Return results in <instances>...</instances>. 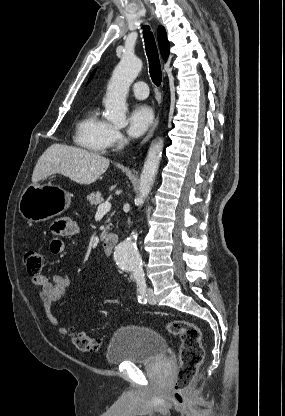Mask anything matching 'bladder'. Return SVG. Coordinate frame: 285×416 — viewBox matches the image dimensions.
Segmentation results:
<instances>
[{
	"instance_id": "obj_1",
	"label": "bladder",
	"mask_w": 285,
	"mask_h": 416,
	"mask_svg": "<svg viewBox=\"0 0 285 416\" xmlns=\"http://www.w3.org/2000/svg\"><path fill=\"white\" fill-rule=\"evenodd\" d=\"M167 355V339L147 326L124 325L112 335L106 358L109 363H152Z\"/></svg>"
}]
</instances>
